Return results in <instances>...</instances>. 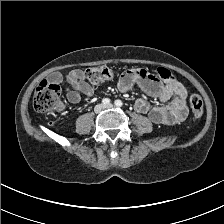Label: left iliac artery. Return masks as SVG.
Returning a JSON list of instances; mask_svg holds the SVG:
<instances>
[{"instance_id":"left-iliac-artery-1","label":"left iliac artery","mask_w":224,"mask_h":224,"mask_svg":"<svg viewBox=\"0 0 224 224\" xmlns=\"http://www.w3.org/2000/svg\"><path fill=\"white\" fill-rule=\"evenodd\" d=\"M123 105V102L121 100H116L115 101V106L121 107Z\"/></svg>"}]
</instances>
